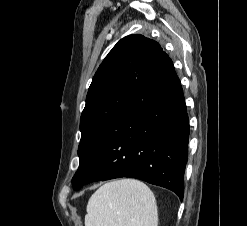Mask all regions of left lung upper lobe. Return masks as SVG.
Returning <instances> with one entry per match:
<instances>
[{"label": "left lung upper lobe", "mask_w": 247, "mask_h": 226, "mask_svg": "<svg viewBox=\"0 0 247 226\" xmlns=\"http://www.w3.org/2000/svg\"><path fill=\"white\" fill-rule=\"evenodd\" d=\"M161 52L156 41L143 35H129L118 41L101 63L89 87L80 119V163L72 179L74 188L80 182L79 172L91 151Z\"/></svg>", "instance_id": "left-lung-upper-lobe-1"}]
</instances>
